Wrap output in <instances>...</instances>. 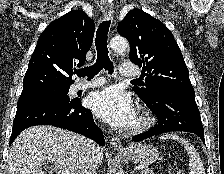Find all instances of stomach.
<instances>
[{
  "label": "stomach",
  "mask_w": 224,
  "mask_h": 174,
  "mask_svg": "<svg viewBox=\"0 0 224 174\" xmlns=\"http://www.w3.org/2000/svg\"><path fill=\"white\" fill-rule=\"evenodd\" d=\"M129 157L135 163L149 165L159 158V151L152 145H137L129 151Z\"/></svg>",
  "instance_id": "1"
}]
</instances>
